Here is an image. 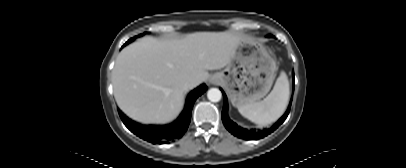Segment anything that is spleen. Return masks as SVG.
Wrapping results in <instances>:
<instances>
[{
	"label": "spleen",
	"mask_w": 406,
	"mask_h": 168,
	"mask_svg": "<svg viewBox=\"0 0 406 168\" xmlns=\"http://www.w3.org/2000/svg\"><path fill=\"white\" fill-rule=\"evenodd\" d=\"M289 101V82L285 72L277 78L273 90L262 101L238 108L240 114L248 120L266 126L280 118Z\"/></svg>",
	"instance_id": "3e777b00"
}]
</instances>
